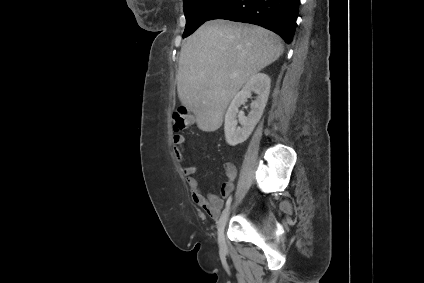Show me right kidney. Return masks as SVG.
Instances as JSON below:
<instances>
[{
    "label": "right kidney",
    "mask_w": 424,
    "mask_h": 283,
    "mask_svg": "<svg viewBox=\"0 0 424 283\" xmlns=\"http://www.w3.org/2000/svg\"><path fill=\"white\" fill-rule=\"evenodd\" d=\"M271 80L265 73H257L253 75L232 99L227 112L225 114V138L226 142L235 146L248 139L255 126L261 119L270 93ZM257 94L255 101L251 103V111L246 117L243 112H239L238 108L245 104L247 99L251 97V93ZM238 119V120H237ZM238 121L242 125L237 127Z\"/></svg>",
    "instance_id": "obj_1"
}]
</instances>
